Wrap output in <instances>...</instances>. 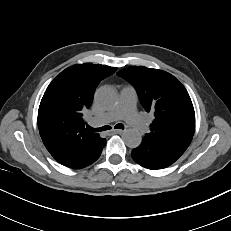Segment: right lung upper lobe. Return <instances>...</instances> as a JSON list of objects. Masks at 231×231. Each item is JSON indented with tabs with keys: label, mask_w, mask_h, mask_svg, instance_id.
Here are the masks:
<instances>
[{
	"label": "right lung upper lobe",
	"mask_w": 231,
	"mask_h": 231,
	"mask_svg": "<svg viewBox=\"0 0 231 231\" xmlns=\"http://www.w3.org/2000/svg\"><path fill=\"white\" fill-rule=\"evenodd\" d=\"M115 71L99 64H76L47 87L38 110V127L45 147L59 163L73 164L103 141L99 134L87 131L83 113L99 82Z\"/></svg>",
	"instance_id": "1"
}]
</instances>
